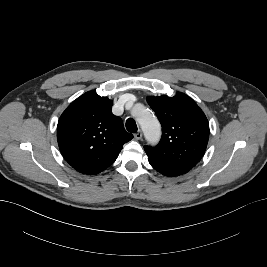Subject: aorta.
<instances>
[{
    "label": "aorta",
    "instance_id": "1",
    "mask_svg": "<svg viewBox=\"0 0 267 267\" xmlns=\"http://www.w3.org/2000/svg\"><path fill=\"white\" fill-rule=\"evenodd\" d=\"M132 114L136 117L147 140L150 142H156L160 138L161 126L152 112L142 105H137L133 109Z\"/></svg>",
    "mask_w": 267,
    "mask_h": 267
}]
</instances>
